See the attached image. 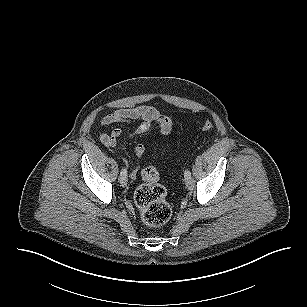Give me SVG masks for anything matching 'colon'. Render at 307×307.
Wrapping results in <instances>:
<instances>
[{"instance_id":"obj_1","label":"colon","mask_w":307,"mask_h":307,"mask_svg":"<svg viewBox=\"0 0 307 307\" xmlns=\"http://www.w3.org/2000/svg\"><path fill=\"white\" fill-rule=\"evenodd\" d=\"M213 123L207 120L202 125V131L209 132ZM143 183L135 191L134 201L142 221L152 227L165 224L171 217L172 208L166 200V190L160 183V174L153 166L142 171Z\"/></svg>"}]
</instances>
